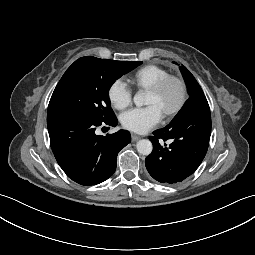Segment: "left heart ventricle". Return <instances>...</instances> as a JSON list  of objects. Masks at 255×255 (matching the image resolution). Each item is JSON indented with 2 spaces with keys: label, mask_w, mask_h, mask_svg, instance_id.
<instances>
[{
  "label": "left heart ventricle",
  "mask_w": 255,
  "mask_h": 255,
  "mask_svg": "<svg viewBox=\"0 0 255 255\" xmlns=\"http://www.w3.org/2000/svg\"><path fill=\"white\" fill-rule=\"evenodd\" d=\"M179 96V86L176 83L172 82L160 93H153L148 91L146 103L148 105H157L164 113L166 110L172 108L177 103Z\"/></svg>",
  "instance_id": "left-heart-ventricle-1"
}]
</instances>
